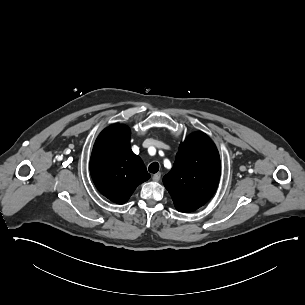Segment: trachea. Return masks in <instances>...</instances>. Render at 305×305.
Masks as SVG:
<instances>
[{"label": "trachea", "instance_id": "1", "mask_svg": "<svg viewBox=\"0 0 305 305\" xmlns=\"http://www.w3.org/2000/svg\"><path fill=\"white\" fill-rule=\"evenodd\" d=\"M159 170V164L157 162H153L149 165V172L150 173H157Z\"/></svg>", "mask_w": 305, "mask_h": 305}]
</instances>
